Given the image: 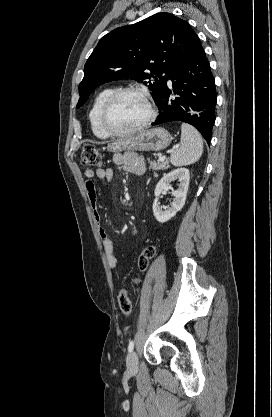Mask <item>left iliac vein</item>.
I'll use <instances>...</instances> for the list:
<instances>
[{"instance_id": "1", "label": "left iliac vein", "mask_w": 272, "mask_h": 417, "mask_svg": "<svg viewBox=\"0 0 272 417\" xmlns=\"http://www.w3.org/2000/svg\"><path fill=\"white\" fill-rule=\"evenodd\" d=\"M127 369L129 372H135L138 369V357L136 352L132 351L127 356L126 360Z\"/></svg>"}]
</instances>
